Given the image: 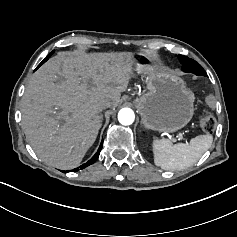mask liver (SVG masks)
<instances>
[{
  "instance_id": "1",
  "label": "liver",
  "mask_w": 237,
  "mask_h": 237,
  "mask_svg": "<svg viewBox=\"0 0 237 237\" xmlns=\"http://www.w3.org/2000/svg\"><path fill=\"white\" fill-rule=\"evenodd\" d=\"M133 53L54 57L34 73L21 100L22 127L36 155L59 169L77 167L100 128V101L116 108L128 89Z\"/></svg>"
}]
</instances>
